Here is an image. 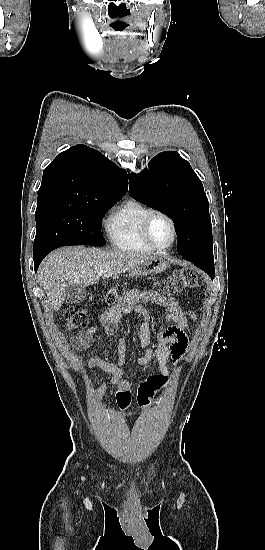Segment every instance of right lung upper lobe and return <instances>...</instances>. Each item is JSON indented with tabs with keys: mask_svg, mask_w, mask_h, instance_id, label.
<instances>
[{
	"mask_svg": "<svg viewBox=\"0 0 265 550\" xmlns=\"http://www.w3.org/2000/svg\"><path fill=\"white\" fill-rule=\"evenodd\" d=\"M127 190L125 170L97 150L76 145L60 153L43 171L38 198H122Z\"/></svg>",
	"mask_w": 265,
	"mask_h": 550,
	"instance_id": "cb5924a9",
	"label": "right lung upper lobe"
}]
</instances>
